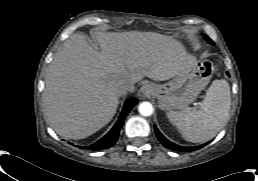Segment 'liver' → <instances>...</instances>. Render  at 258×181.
<instances>
[{"instance_id": "obj_1", "label": "liver", "mask_w": 258, "mask_h": 181, "mask_svg": "<svg viewBox=\"0 0 258 181\" xmlns=\"http://www.w3.org/2000/svg\"><path fill=\"white\" fill-rule=\"evenodd\" d=\"M95 38L101 51L81 34L70 36L47 70L44 114L68 139H84L111 121L123 83L169 80L196 63L179 41L159 33L97 31Z\"/></svg>"}]
</instances>
